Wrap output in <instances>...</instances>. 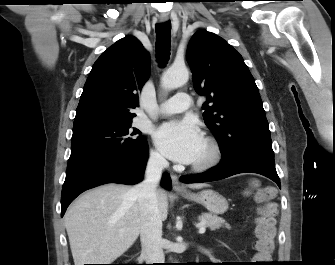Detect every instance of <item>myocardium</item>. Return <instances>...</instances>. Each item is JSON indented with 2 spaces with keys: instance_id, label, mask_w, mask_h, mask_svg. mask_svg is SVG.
Here are the masks:
<instances>
[{
  "instance_id": "1",
  "label": "myocardium",
  "mask_w": 335,
  "mask_h": 265,
  "mask_svg": "<svg viewBox=\"0 0 335 265\" xmlns=\"http://www.w3.org/2000/svg\"><path fill=\"white\" fill-rule=\"evenodd\" d=\"M203 140L208 145L210 154L206 160L191 165V169L198 173L207 172L216 167L223 156L221 144L216 138L206 136Z\"/></svg>"
}]
</instances>
